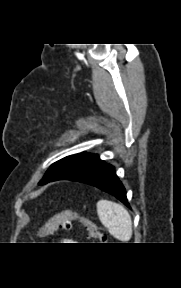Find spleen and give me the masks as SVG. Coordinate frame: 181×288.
Listing matches in <instances>:
<instances>
[{
	"mask_svg": "<svg viewBox=\"0 0 181 288\" xmlns=\"http://www.w3.org/2000/svg\"><path fill=\"white\" fill-rule=\"evenodd\" d=\"M97 213L101 223L113 237L120 241H129L131 239V217L122 205L101 199L97 203Z\"/></svg>",
	"mask_w": 181,
	"mask_h": 288,
	"instance_id": "obj_1",
	"label": "spleen"
}]
</instances>
